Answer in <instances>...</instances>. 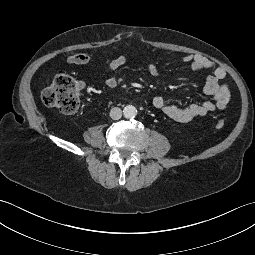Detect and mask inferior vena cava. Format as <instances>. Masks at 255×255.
Here are the masks:
<instances>
[{"label":"inferior vena cava","mask_w":255,"mask_h":255,"mask_svg":"<svg viewBox=\"0 0 255 255\" xmlns=\"http://www.w3.org/2000/svg\"><path fill=\"white\" fill-rule=\"evenodd\" d=\"M110 117L113 120H119L122 117V110L118 107H114L110 110Z\"/></svg>","instance_id":"1"}]
</instances>
